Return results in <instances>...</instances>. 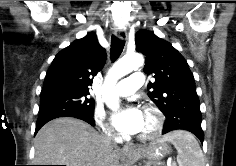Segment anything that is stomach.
Here are the masks:
<instances>
[{
    "label": "stomach",
    "mask_w": 236,
    "mask_h": 166,
    "mask_svg": "<svg viewBox=\"0 0 236 166\" xmlns=\"http://www.w3.org/2000/svg\"><path fill=\"white\" fill-rule=\"evenodd\" d=\"M170 153V148L165 142H153L148 147L138 152V157L147 160L145 166H159L160 161Z\"/></svg>",
    "instance_id": "0dacf381"
}]
</instances>
